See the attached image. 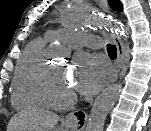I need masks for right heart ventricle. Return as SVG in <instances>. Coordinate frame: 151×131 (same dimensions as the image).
<instances>
[{"label":"right heart ventricle","instance_id":"e07e8e85","mask_svg":"<svg viewBox=\"0 0 151 131\" xmlns=\"http://www.w3.org/2000/svg\"><path fill=\"white\" fill-rule=\"evenodd\" d=\"M46 41L36 39L24 49L18 62L11 91V103L16 109H28L42 105L37 82L47 63L44 58Z\"/></svg>","mask_w":151,"mask_h":131}]
</instances>
